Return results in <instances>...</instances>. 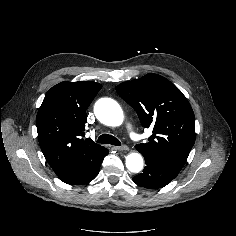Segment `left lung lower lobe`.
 <instances>
[{
	"mask_svg": "<svg viewBox=\"0 0 236 236\" xmlns=\"http://www.w3.org/2000/svg\"><path fill=\"white\" fill-rule=\"evenodd\" d=\"M142 154L145 158L146 166L143 173L133 178V181L137 185L147 189H159L166 186L179 174V171L163 164L156 157L144 153Z\"/></svg>",
	"mask_w": 236,
	"mask_h": 236,
	"instance_id": "obj_1",
	"label": "left lung lower lobe"
}]
</instances>
